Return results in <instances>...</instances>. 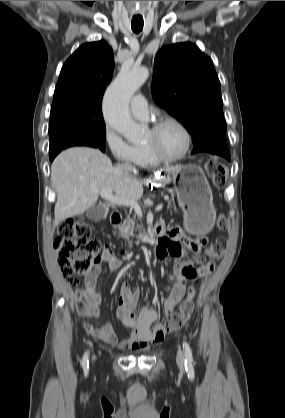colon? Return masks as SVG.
<instances>
[{
    "mask_svg": "<svg viewBox=\"0 0 285 418\" xmlns=\"http://www.w3.org/2000/svg\"><path fill=\"white\" fill-rule=\"evenodd\" d=\"M206 170L215 184L220 185L224 182L226 174L222 165L217 161L209 160ZM217 227L222 231L226 228L224 217L218 218ZM226 246L227 241L224 236L212 240L207 248L210 260L221 257L225 253ZM54 247L58 253V264L61 271L73 286H78L90 272L93 265L90 256L97 253L100 248L99 243L91 238L90 227L84 221L77 219H69L61 223L58 236L54 240ZM155 253L160 260L167 256V251L161 245H156ZM193 296L194 289L191 287L180 310L168 316L162 327L158 329V333L176 331L185 324L193 310Z\"/></svg>",
    "mask_w": 285,
    "mask_h": 418,
    "instance_id": "1",
    "label": "colon"
}]
</instances>
